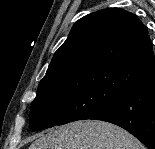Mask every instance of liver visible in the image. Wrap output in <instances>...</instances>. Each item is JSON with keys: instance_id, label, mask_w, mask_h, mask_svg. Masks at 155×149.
I'll return each mask as SVG.
<instances>
[{"instance_id": "liver-1", "label": "liver", "mask_w": 155, "mask_h": 149, "mask_svg": "<svg viewBox=\"0 0 155 149\" xmlns=\"http://www.w3.org/2000/svg\"><path fill=\"white\" fill-rule=\"evenodd\" d=\"M29 149H145L126 130L104 121H75L36 139Z\"/></svg>"}]
</instances>
